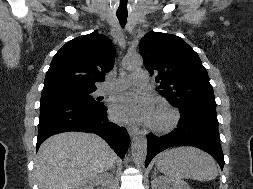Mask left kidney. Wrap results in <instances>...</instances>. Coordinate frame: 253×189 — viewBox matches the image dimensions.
<instances>
[{
  "label": "left kidney",
  "mask_w": 253,
  "mask_h": 189,
  "mask_svg": "<svg viewBox=\"0 0 253 189\" xmlns=\"http://www.w3.org/2000/svg\"><path fill=\"white\" fill-rule=\"evenodd\" d=\"M152 189H191L183 180H174L164 176H159L152 181Z\"/></svg>",
  "instance_id": "left-kidney-1"
}]
</instances>
